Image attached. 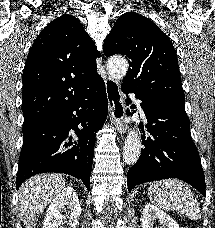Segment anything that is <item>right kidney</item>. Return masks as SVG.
Returning <instances> with one entry per match:
<instances>
[{
	"label": "right kidney",
	"mask_w": 215,
	"mask_h": 228,
	"mask_svg": "<svg viewBox=\"0 0 215 228\" xmlns=\"http://www.w3.org/2000/svg\"><path fill=\"white\" fill-rule=\"evenodd\" d=\"M68 212L67 220L72 222L81 216V204L78 200L77 192L74 188H64L56 198L50 202V206L45 214L43 228H58L65 220L62 212Z\"/></svg>",
	"instance_id": "obj_1"
}]
</instances>
